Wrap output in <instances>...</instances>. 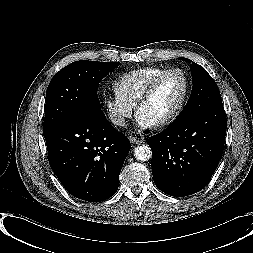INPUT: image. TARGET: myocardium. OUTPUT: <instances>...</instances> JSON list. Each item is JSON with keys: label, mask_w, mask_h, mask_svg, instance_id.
I'll use <instances>...</instances> for the list:
<instances>
[{"label": "myocardium", "mask_w": 253, "mask_h": 253, "mask_svg": "<svg viewBox=\"0 0 253 253\" xmlns=\"http://www.w3.org/2000/svg\"><path fill=\"white\" fill-rule=\"evenodd\" d=\"M171 74H177L182 78L184 82V93L177 108L169 116L155 123V127H164L172 124L174 121L177 120V118L182 114L183 110L185 109L190 95V81L185 72L179 68H171L165 70L149 83V85L143 91L142 95L140 96L135 105L136 112L138 113L139 110L151 99L162 80Z\"/></svg>", "instance_id": "1"}]
</instances>
